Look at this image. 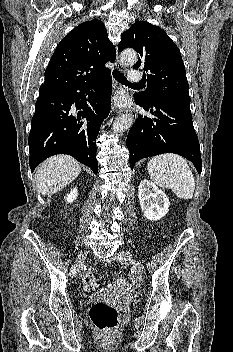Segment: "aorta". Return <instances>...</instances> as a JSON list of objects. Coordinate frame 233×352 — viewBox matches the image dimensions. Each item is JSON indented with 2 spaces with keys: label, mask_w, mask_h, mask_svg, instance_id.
I'll return each instance as SVG.
<instances>
[{
  "label": "aorta",
  "mask_w": 233,
  "mask_h": 352,
  "mask_svg": "<svg viewBox=\"0 0 233 352\" xmlns=\"http://www.w3.org/2000/svg\"><path fill=\"white\" fill-rule=\"evenodd\" d=\"M121 61L126 64H135L137 62V53L133 50H125L121 53ZM133 124V117L132 115L126 114L123 116L118 117L113 125L112 130L114 132H123L131 127Z\"/></svg>",
  "instance_id": "762f6f07"
}]
</instances>
